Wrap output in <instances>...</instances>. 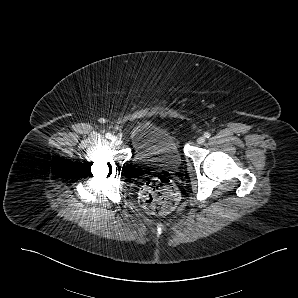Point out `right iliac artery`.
<instances>
[{"instance_id": "1", "label": "right iliac artery", "mask_w": 298, "mask_h": 298, "mask_svg": "<svg viewBox=\"0 0 298 298\" xmlns=\"http://www.w3.org/2000/svg\"><path fill=\"white\" fill-rule=\"evenodd\" d=\"M106 138H107V139H112V138H113V136H112V134H111V133H107V134H106Z\"/></svg>"}]
</instances>
